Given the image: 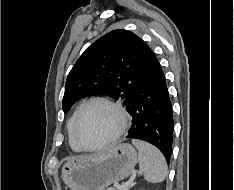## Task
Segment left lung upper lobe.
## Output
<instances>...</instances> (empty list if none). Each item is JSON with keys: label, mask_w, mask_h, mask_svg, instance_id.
Here are the masks:
<instances>
[{"label": "left lung upper lobe", "mask_w": 234, "mask_h": 190, "mask_svg": "<svg viewBox=\"0 0 234 190\" xmlns=\"http://www.w3.org/2000/svg\"><path fill=\"white\" fill-rule=\"evenodd\" d=\"M143 41L134 33L117 29L91 44L68 74L63 111L78 99L105 94L126 106L140 82Z\"/></svg>", "instance_id": "5c2ea615"}]
</instances>
